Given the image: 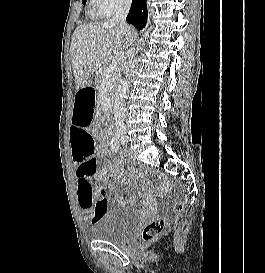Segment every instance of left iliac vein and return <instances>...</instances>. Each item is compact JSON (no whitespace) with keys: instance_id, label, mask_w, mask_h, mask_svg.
<instances>
[{"instance_id":"4c4485c4","label":"left iliac vein","mask_w":265,"mask_h":273,"mask_svg":"<svg viewBox=\"0 0 265 273\" xmlns=\"http://www.w3.org/2000/svg\"><path fill=\"white\" fill-rule=\"evenodd\" d=\"M121 143L122 144H127L128 143V135L126 134V132L124 133V135L121 138Z\"/></svg>"}]
</instances>
